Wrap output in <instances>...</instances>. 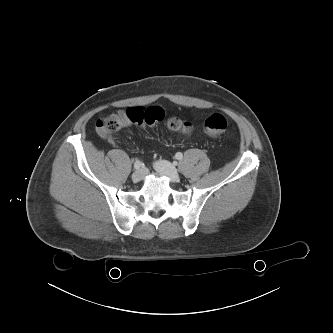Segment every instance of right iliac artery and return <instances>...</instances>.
Returning <instances> with one entry per match:
<instances>
[{
  "label": "right iliac artery",
  "mask_w": 333,
  "mask_h": 333,
  "mask_svg": "<svg viewBox=\"0 0 333 333\" xmlns=\"http://www.w3.org/2000/svg\"><path fill=\"white\" fill-rule=\"evenodd\" d=\"M141 166H142L141 161L136 160L135 163H134V168H135L136 170H138V169H140Z\"/></svg>",
  "instance_id": "right-iliac-artery-1"
}]
</instances>
